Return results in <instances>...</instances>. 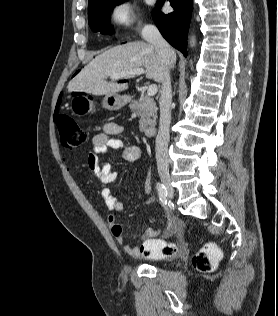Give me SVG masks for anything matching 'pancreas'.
Returning <instances> with one entry per match:
<instances>
[{"label": "pancreas", "mask_w": 278, "mask_h": 316, "mask_svg": "<svg viewBox=\"0 0 278 316\" xmlns=\"http://www.w3.org/2000/svg\"><path fill=\"white\" fill-rule=\"evenodd\" d=\"M130 109L139 117V129L143 132L148 126H155L157 119V106L150 96H142L130 104Z\"/></svg>", "instance_id": "obj_1"}]
</instances>
